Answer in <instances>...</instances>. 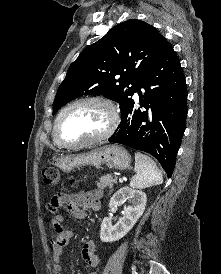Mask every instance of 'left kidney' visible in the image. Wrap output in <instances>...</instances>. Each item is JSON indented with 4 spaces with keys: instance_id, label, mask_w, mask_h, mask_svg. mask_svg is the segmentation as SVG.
Returning a JSON list of instances; mask_svg holds the SVG:
<instances>
[{
    "instance_id": "left-kidney-1",
    "label": "left kidney",
    "mask_w": 221,
    "mask_h": 274,
    "mask_svg": "<svg viewBox=\"0 0 221 274\" xmlns=\"http://www.w3.org/2000/svg\"><path fill=\"white\" fill-rule=\"evenodd\" d=\"M128 201L131 205L124 208L123 217L112 226V220L105 217L101 224L100 239L102 242H114L123 238L142 216L147 196L144 192L129 187L119 189L110 199L109 207H118Z\"/></svg>"
}]
</instances>
